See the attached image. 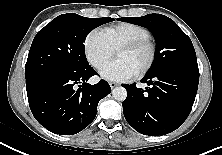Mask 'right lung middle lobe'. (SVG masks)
<instances>
[{
    "instance_id": "dd1d6c3e",
    "label": "right lung middle lobe",
    "mask_w": 222,
    "mask_h": 155,
    "mask_svg": "<svg viewBox=\"0 0 222 155\" xmlns=\"http://www.w3.org/2000/svg\"><path fill=\"white\" fill-rule=\"evenodd\" d=\"M113 20L110 17L86 18L74 13L56 17L32 42L25 65L26 84L47 74H72L89 67L83 44L86 36L94 28Z\"/></svg>"
}]
</instances>
